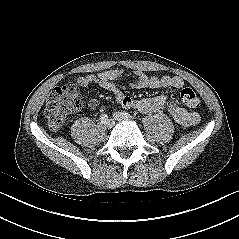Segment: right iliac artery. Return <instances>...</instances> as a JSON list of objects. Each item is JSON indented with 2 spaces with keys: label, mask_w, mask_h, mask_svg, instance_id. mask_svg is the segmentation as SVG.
I'll return each mask as SVG.
<instances>
[{
  "label": "right iliac artery",
  "mask_w": 239,
  "mask_h": 239,
  "mask_svg": "<svg viewBox=\"0 0 239 239\" xmlns=\"http://www.w3.org/2000/svg\"><path fill=\"white\" fill-rule=\"evenodd\" d=\"M100 120L102 124H105L108 120V116L104 113L101 115Z\"/></svg>",
  "instance_id": "1"
}]
</instances>
